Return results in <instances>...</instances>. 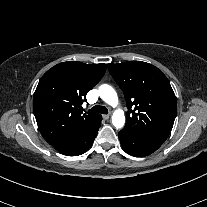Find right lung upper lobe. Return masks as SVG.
I'll use <instances>...</instances> for the list:
<instances>
[{
    "label": "right lung upper lobe",
    "mask_w": 207,
    "mask_h": 207,
    "mask_svg": "<svg viewBox=\"0 0 207 207\" xmlns=\"http://www.w3.org/2000/svg\"><path fill=\"white\" fill-rule=\"evenodd\" d=\"M105 71V64L69 61L55 65L42 76L34 93L33 110L41 134L52 146L101 117L82 113L81 104Z\"/></svg>",
    "instance_id": "1"
}]
</instances>
